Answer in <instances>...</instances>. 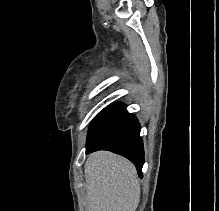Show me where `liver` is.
<instances>
[{"instance_id":"obj_1","label":"liver","mask_w":219,"mask_h":211,"mask_svg":"<svg viewBox=\"0 0 219 211\" xmlns=\"http://www.w3.org/2000/svg\"><path fill=\"white\" fill-rule=\"evenodd\" d=\"M84 173L86 211H136L140 183L129 159L112 151H94L85 161Z\"/></svg>"}]
</instances>
